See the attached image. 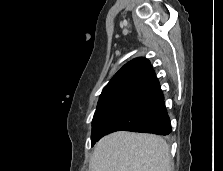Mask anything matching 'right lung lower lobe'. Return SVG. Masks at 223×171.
<instances>
[{"label":"right lung lower lobe","mask_w":223,"mask_h":171,"mask_svg":"<svg viewBox=\"0 0 223 171\" xmlns=\"http://www.w3.org/2000/svg\"><path fill=\"white\" fill-rule=\"evenodd\" d=\"M120 130L159 135H168L171 132L170 119L159 84L137 97L105 128L102 137Z\"/></svg>","instance_id":"1"}]
</instances>
